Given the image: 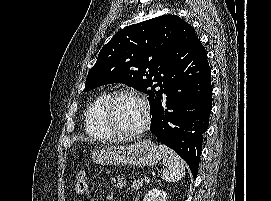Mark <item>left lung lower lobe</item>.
<instances>
[{"mask_svg": "<svg viewBox=\"0 0 271 201\" xmlns=\"http://www.w3.org/2000/svg\"><path fill=\"white\" fill-rule=\"evenodd\" d=\"M211 69L194 31L182 29L172 51V66L150 131L189 165L196 178L203 133L212 109Z\"/></svg>", "mask_w": 271, "mask_h": 201, "instance_id": "0a47b994", "label": "left lung lower lobe"}]
</instances>
